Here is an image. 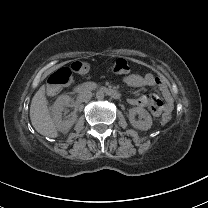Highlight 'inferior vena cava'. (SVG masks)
<instances>
[{
  "mask_svg": "<svg viewBox=\"0 0 208 208\" xmlns=\"http://www.w3.org/2000/svg\"><path fill=\"white\" fill-rule=\"evenodd\" d=\"M92 92L89 90H82L78 95V100L81 102H87L91 99Z\"/></svg>",
  "mask_w": 208,
  "mask_h": 208,
  "instance_id": "1",
  "label": "inferior vena cava"
}]
</instances>
